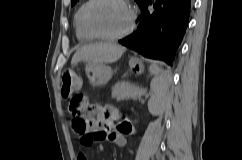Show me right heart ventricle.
Masks as SVG:
<instances>
[{
  "instance_id": "obj_1",
  "label": "right heart ventricle",
  "mask_w": 242,
  "mask_h": 160,
  "mask_svg": "<svg viewBox=\"0 0 242 160\" xmlns=\"http://www.w3.org/2000/svg\"><path fill=\"white\" fill-rule=\"evenodd\" d=\"M88 3H89V0H83V2L80 4V6L78 7V9L76 10V12L74 14L75 34H76L77 39L80 42H88V41H92L95 39V37L92 36L87 31V29L85 28L84 23H83V14H84V10Z\"/></svg>"
}]
</instances>
